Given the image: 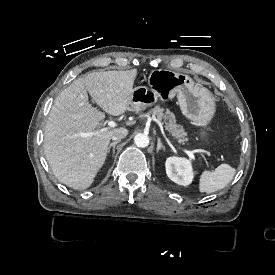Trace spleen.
I'll return each mask as SVG.
<instances>
[{"label": "spleen", "instance_id": "obj_1", "mask_svg": "<svg viewBox=\"0 0 275 275\" xmlns=\"http://www.w3.org/2000/svg\"><path fill=\"white\" fill-rule=\"evenodd\" d=\"M235 169L227 163L220 164L215 171L204 170L199 176L200 193H213L223 189L234 177Z\"/></svg>", "mask_w": 275, "mask_h": 275}]
</instances>
